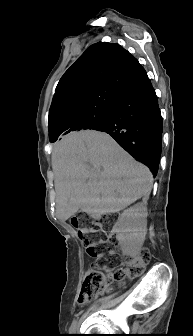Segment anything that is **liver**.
I'll use <instances>...</instances> for the list:
<instances>
[{"label": "liver", "mask_w": 193, "mask_h": 336, "mask_svg": "<svg viewBox=\"0 0 193 336\" xmlns=\"http://www.w3.org/2000/svg\"><path fill=\"white\" fill-rule=\"evenodd\" d=\"M56 215L66 221L79 209L92 217L116 213L153 185L148 167L137 162L106 133L86 130L59 142L52 153Z\"/></svg>", "instance_id": "obj_1"}]
</instances>
